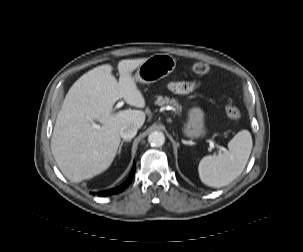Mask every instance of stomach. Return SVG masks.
I'll list each match as a JSON object with an SVG mask.
<instances>
[{"label": "stomach", "mask_w": 303, "mask_h": 252, "mask_svg": "<svg viewBox=\"0 0 303 252\" xmlns=\"http://www.w3.org/2000/svg\"><path fill=\"white\" fill-rule=\"evenodd\" d=\"M175 66L176 60L169 54L152 55L138 67L134 79L145 84L155 83L172 73ZM181 131L184 136L191 139L206 136L205 113L202 108L194 106L188 110L187 120Z\"/></svg>", "instance_id": "stomach-1"}]
</instances>
